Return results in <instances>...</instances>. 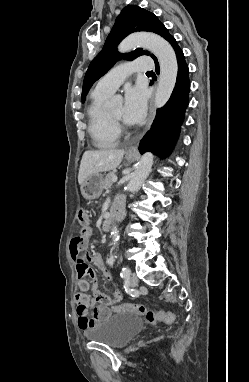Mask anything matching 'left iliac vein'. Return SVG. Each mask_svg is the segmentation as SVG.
Wrapping results in <instances>:
<instances>
[{
	"label": "left iliac vein",
	"instance_id": "obj_1",
	"mask_svg": "<svg viewBox=\"0 0 249 382\" xmlns=\"http://www.w3.org/2000/svg\"><path fill=\"white\" fill-rule=\"evenodd\" d=\"M137 284H138V278H137L136 274L133 273V274L131 275V277H130L129 285H130L131 287H135V286H137Z\"/></svg>",
	"mask_w": 249,
	"mask_h": 382
}]
</instances>
